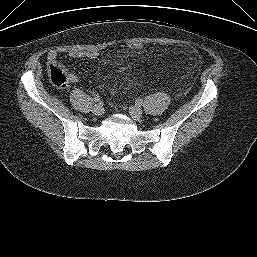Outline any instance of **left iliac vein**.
<instances>
[{"mask_svg": "<svg viewBox=\"0 0 257 257\" xmlns=\"http://www.w3.org/2000/svg\"><path fill=\"white\" fill-rule=\"evenodd\" d=\"M129 114L133 120L139 121L142 118L143 112L137 106H131L129 108Z\"/></svg>", "mask_w": 257, "mask_h": 257, "instance_id": "left-iliac-vein-1", "label": "left iliac vein"}]
</instances>
